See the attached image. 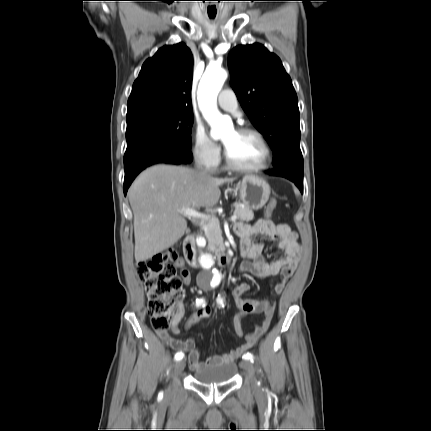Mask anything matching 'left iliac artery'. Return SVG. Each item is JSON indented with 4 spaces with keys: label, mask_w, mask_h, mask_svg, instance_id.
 Segmentation results:
<instances>
[{
    "label": "left iliac artery",
    "mask_w": 431,
    "mask_h": 431,
    "mask_svg": "<svg viewBox=\"0 0 431 431\" xmlns=\"http://www.w3.org/2000/svg\"><path fill=\"white\" fill-rule=\"evenodd\" d=\"M218 303L223 306V300L220 297L218 298ZM243 358L253 361V355L251 353L245 354Z\"/></svg>",
    "instance_id": "left-iliac-artery-1"
}]
</instances>
